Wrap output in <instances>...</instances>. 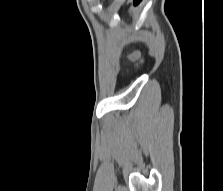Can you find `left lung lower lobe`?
Masks as SVG:
<instances>
[{"instance_id": "left-lung-lower-lobe-1", "label": "left lung lower lobe", "mask_w": 223, "mask_h": 191, "mask_svg": "<svg viewBox=\"0 0 223 191\" xmlns=\"http://www.w3.org/2000/svg\"><path fill=\"white\" fill-rule=\"evenodd\" d=\"M141 0H134V4H138Z\"/></svg>"}]
</instances>
